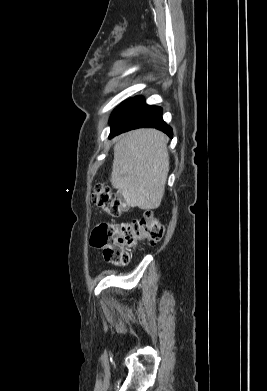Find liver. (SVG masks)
I'll return each mask as SVG.
<instances>
[{"mask_svg": "<svg viewBox=\"0 0 267 391\" xmlns=\"http://www.w3.org/2000/svg\"><path fill=\"white\" fill-rule=\"evenodd\" d=\"M168 137L155 129L122 135L114 145L111 184L130 207L157 209L169 172Z\"/></svg>", "mask_w": 267, "mask_h": 391, "instance_id": "liver-1", "label": "liver"}]
</instances>
